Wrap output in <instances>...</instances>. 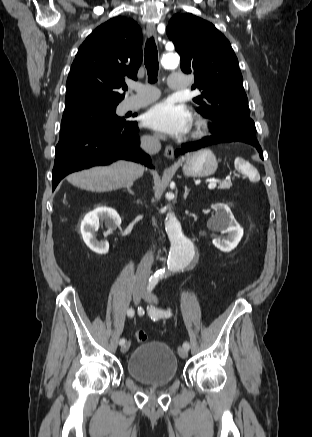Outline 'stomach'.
I'll use <instances>...</instances> for the list:
<instances>
[{
  "label": "stomach",
  "instance_id": "stomach-1",
  "mask_svg": "<svg viewBox=\"0 0 312 437\" xmlns=\"http://www.w3.org/2000/svg\"><path fill=\"white\" fill-rule=\"evenodd\" d=\"M218 162L210 149H201L185 157L182 171L190 177H207L217 170Z\"/></svg>",
  "mask_w": 312,
  "mask_h": 437
}]
</instances>
